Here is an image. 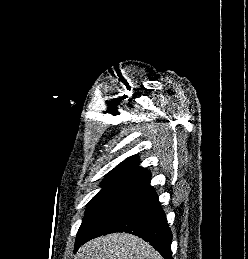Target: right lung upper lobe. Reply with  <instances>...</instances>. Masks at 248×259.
<instances>
[{"label": "right lung upper lobe", "mask_w": 248, "mask_h": 259, "mask_svg": "<svg viewBox=\"0 0 248 259\" xmlns=\"http://www.w3.org/2000/svg\"><path fill=\"white\" fill-rule=\"evenodd\" d=\"M138 156H131L117 165L103 180V184L120 183L134 186L150 177L148 170L138 166Z\"/></svg>", "instance_id": "obj_1"}]
</instances>
